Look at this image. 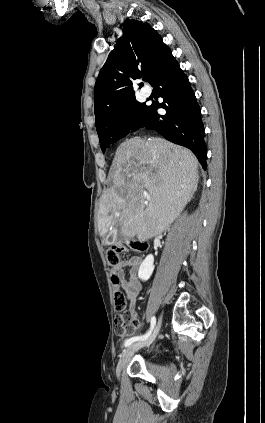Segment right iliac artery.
<instances>
[{"label": "right iliac artery", "mask_w": 265, "mask_h": 423, "mask_svg": "<svg viewBox=\"0 0 265 423\" xmlns=\"http://www.w3.org/2000/svg\"><path fill=\"white\" fill-rule=\"evenodd\" d=\"M155 324H156V318L155 317H152L151 318V327H150V330L146 334H144V335L135 336V337H132L130 339H127L125 341V347L130 346L132 343H134L136 341H144V340H146L151 335V333H152V331H153V329L155 327Z\"/></svg>", "instance_id": "obj_1"}]
</instances>
